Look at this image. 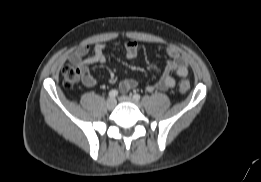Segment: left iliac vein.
<instances>
[{
  "label": "left iliac vein",
  "instance_id": "left-iliac-vein-1",
  "mask_svg": "<svg viewBox=\"0 0 261 182\" xmlns=\"http://www.w3.org/2000/svg\"><path fill=\"white\" fill-rule=\"evenodd\" d=\"M119 101H120V102L133 103V104H135L136 106H140V103H139L137 100L133 99L132 97L125 96V95L120 96V97H119Z\"/></svg>",
  "mask_w": 261,
  "mask_h": 182
}]
</instances>
